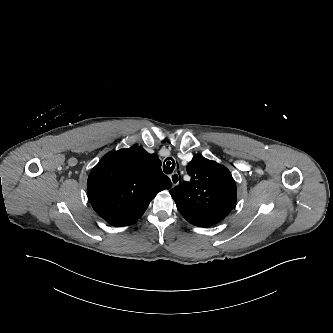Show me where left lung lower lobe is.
Returning <instances> with one entry per match:
<instances>
[{"label": "left lung lower lobe", "instance_id": "obj_1", "mask_svg": "<svg viewBox=\"0 0 333 333\" xmlns=\"http://www.w3.org/2000/svg\"><path fill=\"white\" fill-rule=\"evenodd\" d=\"M177 209L188 222L199 227L214 225L231 211L229 209H196L184 205H178Z\"/></svg>", "mask_w": 333, "mask_h": 333}]
</instances>
